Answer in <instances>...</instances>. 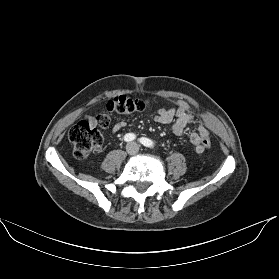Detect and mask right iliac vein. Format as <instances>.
Returning a JSON list of instances; mask_svg holds the SVG:
<instances>
[{
    "mask_svg": "<svg viewBox=\"0 0 279 279\" xmlns=\"http://www.w3.org/2000/svg\"><path fill=\"white\" fill-rule=\"evenodd\" d=\"M127 152H128L129 154H131V153L133 152V148H132L131 145H129V146L127 147Z\"/></svg>",
    "mask_w": 279,
    "mask_h": 279,
    "instance_id": "obj_1",
    "label": "right iliac vein"
}]
</instances>
